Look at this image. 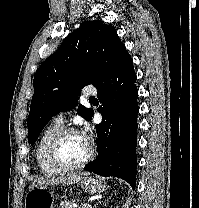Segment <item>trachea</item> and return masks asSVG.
<instances>
[{
    "label": "trachea",
    "mask_w": 199,
    "mask_h": 208,
    "mask_svg": "<svg viewBox=\"0 0 199 208\" xmlns=\"http://www.w3.org/2000/svg\"><path fill=\"white\" fill-rule=\"evenodd\" d=\"M97 99L95 97L89 98V101H96Z\"/></svg>",
    "instance_id": "3493384b"
}]
</instances>
